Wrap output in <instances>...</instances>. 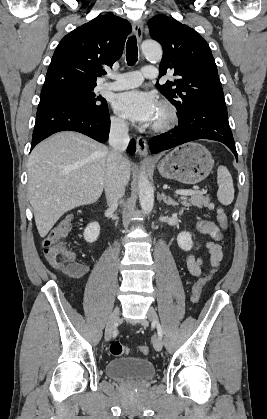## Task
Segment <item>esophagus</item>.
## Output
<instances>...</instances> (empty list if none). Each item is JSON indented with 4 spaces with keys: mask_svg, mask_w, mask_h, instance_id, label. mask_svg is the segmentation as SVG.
<instances>
[{
    "mask_svg": "<svg viewBox=\"0 0 267 419\" xmlns=\"http://www.w3.org/2000/svg\"><path fill=\"white\" fill-rule=\"evenodd\" d=\"M133 32L137 37V40L140 42L142 40L143 35V23L142 21H136L132 25ZM137 151L140 156L148 158V148H147V142L144 139V137L139 136L137 137Z\"/></svg>",
    "mask_w": 267,
    "mask_h": 419,
    "instance_id": "esophagus-1",
    "label": "esophagus"
}]
</instances>
